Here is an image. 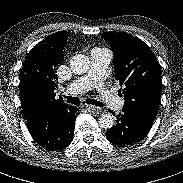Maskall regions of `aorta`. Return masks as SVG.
<instances>
[{"label": "aorta", "mask_w": 183, "mask_h": 183, "mask_svg": "<svg viewBox=\"0 0 183 183\" xmlns=\"http://www.w3.org/2000/svg\"><path fill=\"white\" fill-rule=\"evenodd\" d=\"M90 66L88 56L83 54H76L70 60V69L73 73L82 75L86 73ZM99 125L104 129H110L115 123V118L110 113H103L99 117Z\"/></svg>", "instance_id": "762f6f07"}]
</instances>
